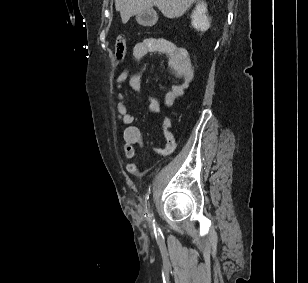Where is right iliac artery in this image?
<instances>
[{"label": "right iliac artery", "mask_w": 308, "mask_h": 283, "mask_svg": "<svg viewBox=\"0 0 308 283\" xmlns=\"http://www.w3.org/2000/svg\"><path fill=\"white\" fill-rule=\"evenodd\" d=\"M147 199H149V196L147 197ZM145 212H146V215H147L149 222L153 223V226L155 227V224H154L155 221L153 219V216H152L151 210H150V202H146Z\"/></svg>", "instance_id": "1"}]
</instances>
